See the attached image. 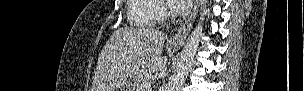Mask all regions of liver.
<instances>
[{
    "mask_svg": "<svg viewBox=\"0 0 304 91\" xmlns=\"http://www.w3.org/2000/svg\"><path fill=\"white\" fill-rule=\"evenodd\" d=\"M166 37L152 28L116 30L99 55L92 91H115L129 77L163 70L167 63V57L162 56Z\"/></svg>",
    "mask_w": 304,
    "mask_h": 91,
    "instance_id": "liver-1",
    "label": "liver"
}]
</instances>
